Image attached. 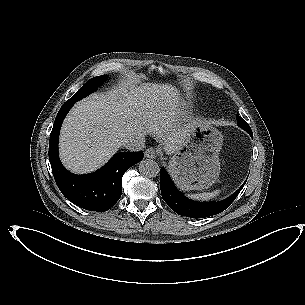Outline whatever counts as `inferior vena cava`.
<instances>
[{
    "label": "inferior vena cava",
    "instance_id": "1",
    "mask_svg": "<svg viewBox=\"0 0 305 305\" xmlns=\"http://www.w3.org/2000/svg\"><path fill=\"white\" fill-rule=\"evenodd\" d=\"M122 145L129 151H141L145 147L144 137H132L124 139Z\"/></svg>",
    "mask_w": 305,
    "mask_h": 305
}]
</instances>
